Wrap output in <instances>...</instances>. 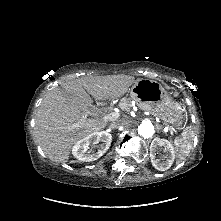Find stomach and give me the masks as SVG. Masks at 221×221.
Wrapping results in <instances>:
<instances>
[{
	"mask_svg": "<svg viewBox=\"0 0 221 221\" xmlns=\"http://www.w3.org/2000/svg\"><path fill=\"white\" fill-rule=\"evenodd\" d=\"M129 92L140 109L160 117L175 129L182 128L185 120L184 109L170 97L159 82L140 79L133 84Z\"/></svg>",
	"mask_w": 221,
	"mask_h": 221,
	"instance_id": "obj_1",
	"label": "stomach"
}]
</instances>
